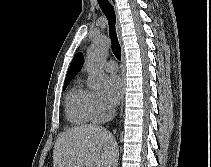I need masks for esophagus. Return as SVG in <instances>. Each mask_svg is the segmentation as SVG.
Returning a JSON list of instances; mask_svg holds the SVG:
<instances>
[{
	"instance_id": "esophagus-1",
	"label": "esophagus",
	"mask_w": 211,
	"mask_h": 167,
	"mask_svg": "<svg viewBox=\"0 0 211 167\" xmlns=\"http://www.w3.org/2000/svg\"><path fill=\"white\" fill-rule=\"evenodd\" d=\"M110 3L113 6V8H114V10L117 14L116 0H110ZM117 31H118L119 39L121 41L120 25H119V22H118V14H117ZM121 75H122V81H123V95H122L120 116L122 115V112H123V106H124V100H125V56H124V53H122Z\"/></svg>"
}]
</instances>
